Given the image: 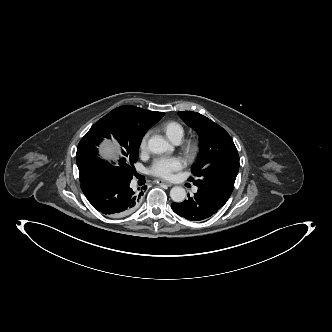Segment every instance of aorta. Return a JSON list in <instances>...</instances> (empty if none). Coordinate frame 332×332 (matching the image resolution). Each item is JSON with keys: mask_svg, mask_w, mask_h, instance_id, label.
Segmentation results:
<instances>
[{"mask_svg": "<svg viewBox=\"0 0 332 332\" xmlns=\"http://www.w3.org/2000/svg\"><path fill=\"white\" fill-rule=\"evenodd\" d=\"M148 149L155 154H161L171 150V145L160 135L152 136L148 140ZM171 199L176 203H181L186 198V191L181 186H175L170 191Z\"/></svg>", "mask_w": 332, "mask_h": 332, "instance_id": "aorta-1", "label": "aorta"}]
</instances>
